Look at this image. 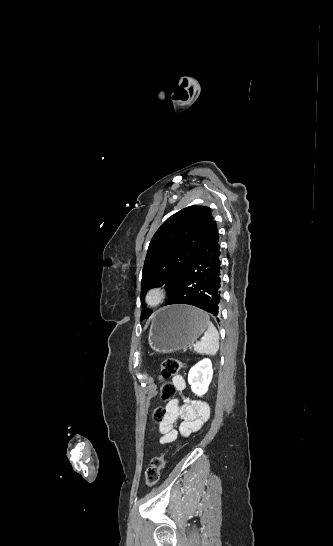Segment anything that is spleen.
<instances>
[{
  "instance_id": "1",
  "label": "spleen",
  "mask_w": 333,
  "mask_h": 546,
  "mask_svg": "<svg viewBox=\"0 0 333 546\" xmlns=\"http://www.w3.org/2000/svg\"><path fill=\"white\" fill-rule=\"evenodd\" d=\"M208 328L200 341L194 345V350L198 353L216 354L219 350V333L216 327L209 319L206 313Z\"/></svg>"
}]
</instances>
